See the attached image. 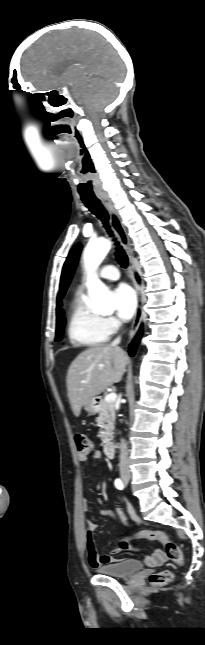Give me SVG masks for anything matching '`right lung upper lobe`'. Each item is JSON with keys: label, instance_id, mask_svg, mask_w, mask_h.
<instances>
[{"label": "right lung upper lobe", "instance_id": "1", "mask_svg": "<svg viewBox=\"0 0 205 645\" xmlns=\"http://www.w3.org/2000/svg\"><path fill=\"white\" fill-rule=\"evenodd\" d=\"M61 302L59 301V297L57 300V309H56V314H57V319L60 318L63 314V310L60 308Z\"/></svg>", "mask_w": 205, "mask_h": 645}]
</instances>
